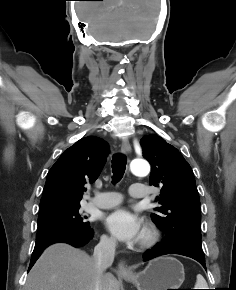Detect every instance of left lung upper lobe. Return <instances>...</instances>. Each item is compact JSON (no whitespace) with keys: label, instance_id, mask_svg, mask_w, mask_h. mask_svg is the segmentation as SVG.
I'll return each mask as SVG.
<instances>
[{"label":"left lung upper lobe","instance_id":"left-lung-upper-lobe-1","mask_svg":"<svg viewBox=\"0 0 236 290\" xmlns=\"http://www.w3.org/2000/svg\"><path fill=\"white\" fill-rule=\"evenodd\" d=\"M143 157L151 164L150 185L160 186L161 207L152 213L153 222L162 229L164 242L191 244L202 250L200 199L193 171L177 148L156 134L140 140Z\"/></svg>","mask_w":236,"mask_h":290}]
</instances>
